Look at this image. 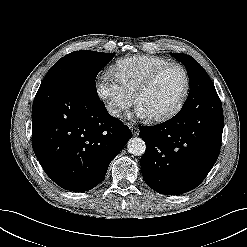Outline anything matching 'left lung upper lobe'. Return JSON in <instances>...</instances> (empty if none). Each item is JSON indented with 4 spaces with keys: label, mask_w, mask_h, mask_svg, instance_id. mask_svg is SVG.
<instances>
[{
    "label": "left lung upper lobe",
    "mask_w": 247,
    "mask_h": 247,
    "mask_svg": "<svg viewBox=\"0 0 247 247\" xmlns=\"http://www.w3.org/2000/svg\"><path fill=\"white\" fill-rule=\"evenodd\" d=\"M172 55L173 57L184 63L188 72L190 80V91L184 105L182 106L187 107L192 102H194L196 97L200 96V93L208 92L206 90L205 84H209L213 87L214 84L209 78L204 68L193 57L183 53H173Z\"/></svg>",
    "instance_id": "1"
}]
</instances>
